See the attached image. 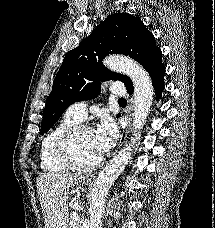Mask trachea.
I'll return each mask as SVG.
<instances>
[{
    "label": "trachea",
    "mask_w": 215,
    "mask_h": 228,
    "mask_svg": "<svg viewBox=\"0 0 215 228\" xmlns=\"http://www.w3.org/2000/svg\"><path fill=\"white\" fill-rule=\"evenodd\" d=\"M118 103L119 104H126L127 101L125 100V98H119Z\"/></svg>",
    "instance_id": "trachea-1"
}]
</instances>
